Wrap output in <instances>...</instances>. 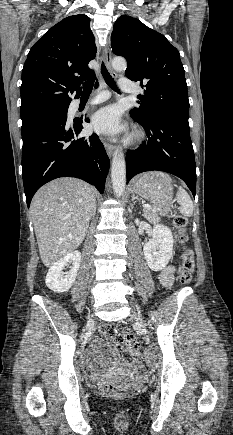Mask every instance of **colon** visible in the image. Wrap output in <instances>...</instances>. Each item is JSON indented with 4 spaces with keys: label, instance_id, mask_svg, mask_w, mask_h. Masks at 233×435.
Instances as JSON below:
<instances>
[{
    "label": "colon",
    "instance_id": "5ec220e1",
    "mask_svg": "<svg viewBox=\"0 0 233 435\" xmlns=\"http://www.w3.org/2000/svg\"><path fill=\"white\" fill-rule=\"evenodd\" d=\"M174 226L177 233V239L180 244L179 247V263L182 267L180 272V281L184 285H188L191 281V274L194 268V255L193 251L188 246V222L187 219L181 215L174 218ZM102 335L111 338L114 343L122 344L127 342L134 349H140L139 344L135 338L128 331H117L111 325H102L99 328ZM100 390L103 395L111 398H125L128 394V390L123 386L112 383L103 382L100 385Z\"/></svg>",
    "mask_w": 233,
    "mask_h": 435
}]
</instances>
